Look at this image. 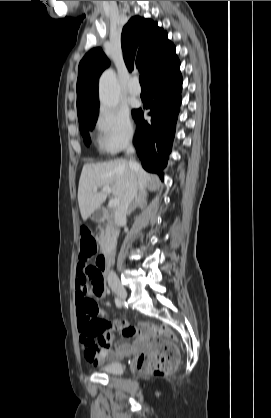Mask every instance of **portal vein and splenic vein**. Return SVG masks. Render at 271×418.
<instances>
[{"label": "portal vein and splenic vein", "instance_id": "1", "mask_svg": "<svg viewBox=\"0 0 271 418\" xmlns=\"http://www.w3.org/2000/svg\"><path fill=\"white\" fill-rule=\"evenodd\" d=\"M101 191H103L107 194H111V192H112L111 187H109V186L102 187ZM119 203H120V200L118 198H114V199H111L109 201L108 206L111 207V208H114V207H117L119 205Z\"/></svg>", "mask_w": 271, "mask_h": 418}]
</instances>
